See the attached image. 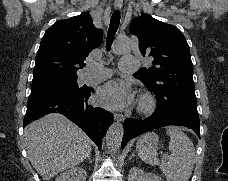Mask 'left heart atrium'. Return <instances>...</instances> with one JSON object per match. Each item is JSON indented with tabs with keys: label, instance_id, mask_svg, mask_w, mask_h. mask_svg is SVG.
Returning a JSON list of instances; mask_svg holds the SVG:
<instances>
[{
	"label": "left heart atrium",
	"instance_id": "obj_1",
	"mask_svg": "<svg viewBox=\"0 0 228 181\" xmlns=\"http://www.w3.org/2000/svg\"><path fill=\"white\" fill-rule=\"evenodd\" d=\"M131 92L132 86L129 82L114 79L102 88L100 95L110 106L121 108L127 105Z\"/></svg>",
	"mask_w": 228,
	"mask_h": 181
}]
</instances>
